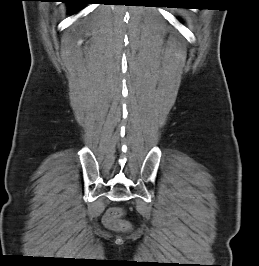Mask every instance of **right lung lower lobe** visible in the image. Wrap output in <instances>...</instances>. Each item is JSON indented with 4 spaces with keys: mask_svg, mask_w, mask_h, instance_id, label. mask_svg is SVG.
<instances>
[{
    "mask_svg": "<svg viewBox=\"0 0 259 266\" xmlns=\"http://www.w3.org/2000/svg\"><path fill=\"white\" fill-rule=\"evenodd\" d=\"M91 0H67L63 1V3H68L71 5H82V4H89Z\"/></svg>",
    "mask_w": 259,
    "mask_h": 266,
    "instance_id": "obj_1",
    "label": "right lung lower lobe"
}]
</instances>
